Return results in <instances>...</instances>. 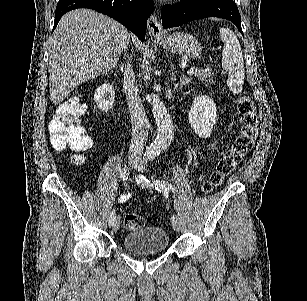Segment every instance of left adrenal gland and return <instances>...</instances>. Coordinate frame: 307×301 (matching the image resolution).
Here are the masks:
<instances>
[{"label": "left adrenal gland", "instance_id": "left-adrenal-gland-1", "mask_svg": "<svg viewBox=\"0 0 307 301\" xmlns=\"http://www.w3.org/2000/svg\"><path fill=\"white\" fill-rule=\"evenodd\" d=\"M177 72L178 70H175V68H173V72H172L173 78H171V80H176ZM188 82H191V78H188V76H182V78H180V88H182L184 84H188ZM175 84H178V82H175Z\"/></svg>", "mask_w": 307, "mask_h": 301}]
</instances>
